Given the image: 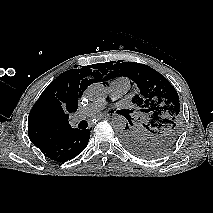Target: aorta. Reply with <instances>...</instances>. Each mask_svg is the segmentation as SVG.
Listing matches in <instances>:
<instances>
[{
	"label": "aorta",
	"instance_id": "1",
	"mask_svg": "<svg viewBox=\"0 0 213 213\" xmlns=\"http://www.w3.org/2000/svg\"><path fill=\"white\" fill-rule=\"evenodd\" d=\"M86 93L88 97L94 101L103 100L107 97L108 90L101 83H93L88 86ZM113 128L118 132H123L126 127V119L124 117H116L112 122Z\"/></svg>",
	"mask_w": 213,
	"mask_h": 213
}]
</instances>
